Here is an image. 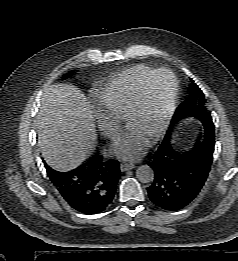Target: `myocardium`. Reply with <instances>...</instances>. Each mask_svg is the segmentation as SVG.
Wrapping results in <instances>:
<instances>
[{"instance_id":"1","label":"myocardium","mask_w":238,"mask_h":261,"mask_svg":"<svg viewBox=\"0 0 238 261\" xmlns=\"http://www.w3.org/2000/svg\"><path fill=\"white\" fill-rule=\"evenodd\" d=\"M163 73H168L172 76L173 82H174V88H173V92L170 97V100L167 105L163 118L161 119V121L157 125V127L154 129V131L151 133V136L153 138L159 137L167 129V127L169 126V124L173 118V115H174V112H175V109L177 106L180 85H179V79H178L177 75L171 69L159 68V69L152 71L150 74H148L141 81V83L137 89L135 98L126 114L127 121H130L131 118L141 110L144 100H145V93H146L147 85L153 78H155L156 76L163 74Z\"/></svg>"}]
</instances>
